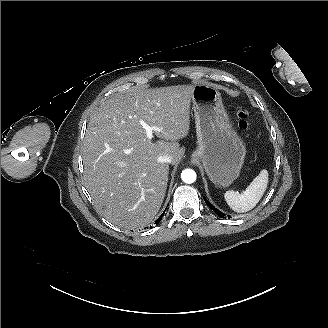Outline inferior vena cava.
<instances>
[{"label":"inferior vena cava","instance_id":"inferior-vena-cava-1","mask_svg":"<svg viewBox=\"0 0 328 328\" xmlns=\"http://www.w3.org/2000/svg\"><path fill=\"white\" fill-rule=\"evenodd\" d=\"M172 158L169 155H161L158 157V162L159 163H171Z\"/></svg>","mask_w":328,"mask_h":328}]
</instances>
